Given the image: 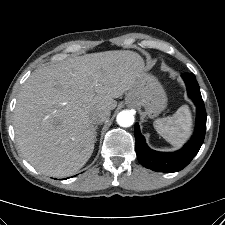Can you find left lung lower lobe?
<instances>
[{"mask_svg": "<svg viewBox=\"0 0 225 225\" xmlns=\"http://www.w3.org/2000/svg\"><path fill=\"white\" fill-rule=\"evenodd\" d=\"M189 97L197 107L196 128L191 140L179 151L161 153L151 150L135 124L136 153L138 161L144 167L157 172H177L186 167L198 153L204 141L206 131V110L199 85L193 74L183 73Z\"/></svg>", "mask_w": 225, "mask_h": 225, "instance_id": "left-lung-lower-lobe-1", "label": "left lung lower lobe"}]
</instances>
